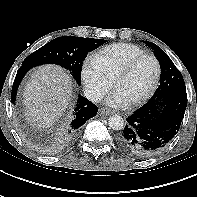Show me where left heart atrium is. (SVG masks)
Returning a JSON list of instances; mask_svg holds the SVG:
<instances>
[{
	"label": "left heart atrium",
	"instance_id": "1",
	"mask_svg": "<svg viewBox=\"0 0 197 197\" xmlns=\"http://www.w3.org/2000/svg\"><path fill=\"white\" fill-rule=\"evenodd\" d=\"M106 101L111 105L121 106L127 104L126 99L123 97V95L118 89H114L112 92H110Z\"/></svg>",
	"mask_w": 197,
	"mask_h": 197
}]
</instances>
